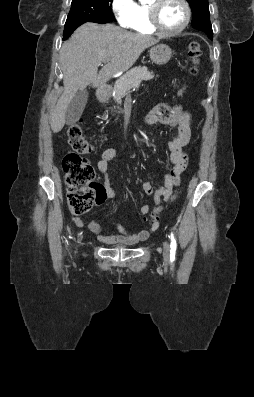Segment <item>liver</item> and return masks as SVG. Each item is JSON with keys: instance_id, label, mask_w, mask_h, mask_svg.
Instances as JSON below:
<instances>
[{"instance_id": "liver-1", "label": "liver", "mask_w": 254, "mask_h": 397, "mask_svg": "<svg viewBox=\"0 0 254 397\" xmlns=\"http://www.w3.org/2000/svg\"><path fill=\"white\" fill-rule=\"evenodd\" d=\"M158 41L111 24L81 25L60 50L64 91L51 115L52 131L58 133L64 127L67 107L79 90L88 85L101 87L113 75L133 66L141 53ZM106 60L109 62L97 73Z\"/></svg>"}]
</instances>
